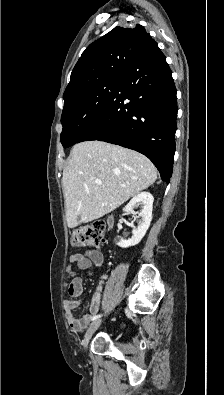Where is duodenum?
Here are the masks:
<instances>
[{
    "instance_id": "duodenum-1",
    "label": "duodenum",
    "mask_w": 224,
    "mask_h": 395,
    "mask_svg": "<svg viewBox=\"0 0 224 395\" xmlns=\"http://www.w3.org/2000/svg\"><path fill=\"white\" fill-rule=\"evenodd\" d=\"M107 224H108V226H109V227H111V226H112V224H113V221H112V219H111V218H109V219L107 220Z\"/></svg>"
}]
</instances>
